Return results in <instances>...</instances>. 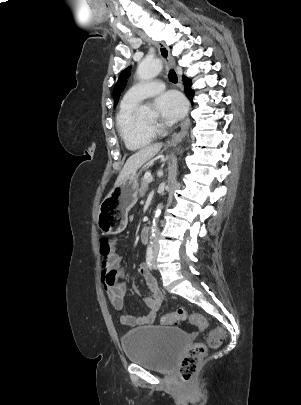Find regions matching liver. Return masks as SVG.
I'll use <instances>...</instances> for the list:
<instances>
[{
	"label": "liver",
	"mask_w": 301,
	"mask_h": 405,
	"mask_svg": "<svg viewBox=\"0 0 301 405\" xmlns=\"http://www.w3.org/2000/svg\"><path fill=\"white\" fill-rule=\"evenodd\" d=\"M162 148V143H156L150 146H146L139 150L138 152L131 155L123 169L121 170L115 185L120 184L124 179L129 177L132 174H135L136 171L143 166L147 161L153 158Z\"/></svg>",
	"instance_id": "liver-1"
}]
</instances>
